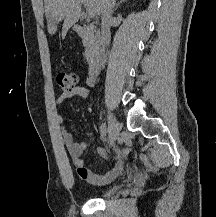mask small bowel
I'll return each instance as SVG.
<instances>
[{
  "label": "small bowel",
  "mask_w": 216,
  "mask_h": 217,
  "mask_svg": "<svg viewBox=\"0 0 216 217\" xmlns=\"http://www.w3.org/2000/svg\"><path fill=\"white\" fill-rule=\"evenodd\" d=\"M96 82V75H89L86 79L87 86H93ZM89 94L88 88L84 86H76L74 89L65 91L60 94L56 100V104L62 108L65 102L72 97L86 98ZM58 122L61 126L63 141L68 154L76 168L77 175L80 180L92 185H104L116 179L123 171L126 162V153L119 151L114 154L116 159L115 166L105 174H96L85 166L82 159L83 153L86 151L88 144L85 141L78 142L73 135L67 131L64 126V120L61 116L58 117ZM97 152L101 156H107V152L102 147L97 148Z\"/></svg>",
  "instance_id": "c3829d8e"
}]
</instances>
